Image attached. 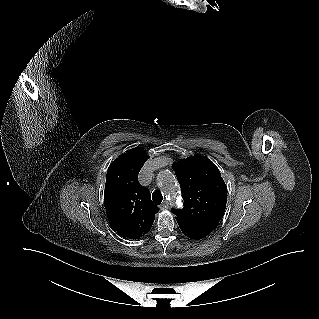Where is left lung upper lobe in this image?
Instances as JSON below:
<instances>
[{
    "label": "left lung upper lobe",
    "instance_id": "1",
    "mask_svg": "<svg viewBox=\"0 0 319 319\" xmlns=\"http://www.w3.org/2000/svg\"><path fill=\"white\" fill-rule=\"evenodd\" d=\"M173 169L184 199V208L173 210L176 220L214 230L223 217L227 202V187L219 169L203 156L179 160Z\"/></svg>",
    "mask_w": 319,
    "mask_h": 319
}]
</instances>
